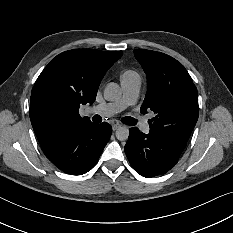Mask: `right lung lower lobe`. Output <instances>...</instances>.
Here are the masks:
<instances>
[{
  "instance_id": "right-lung-lower-lobe-1",
  "label": "right lung lower lobe",
  "mask_w": 233,
  "mask_h": 233,
  "mask_svg": "<svg viewBox=\"0 0 233 233\" xmlns=\"http://www.w3.org/2000/svg\"><path fill=\"white\" fill-rule=\"evenodd\" d=\"M112 127L103 122L84 124L39 142L46 157L60 170L72 175L88 172L98 161L110 139Z\"/></svg>"
}]
</instances>
